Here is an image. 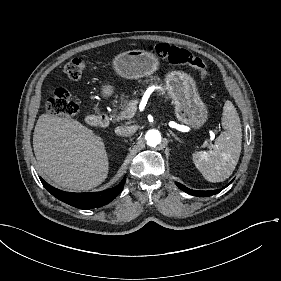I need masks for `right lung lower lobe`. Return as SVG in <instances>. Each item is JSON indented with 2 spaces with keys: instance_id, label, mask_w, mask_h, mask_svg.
<instances>
[{
  "instance_id": "1",
  "label": "right lung lower lobe",
  "mask_w": 281,
  "mask_h": 281,
  "mask_svg": "<svg viewBox=\"0 0 281 281\" xmlns=\"http://www.w3.org/2000/svg\"><path fill=\"white\" fill-rule=\"evenodd\" d=\"M126 177L115 187L101 191L90 193H71L64 192L49 185L41 179L44 187L57 199L80 209L97 208L111 202L123 189Z\"/></svg>"
}]
</instances>
